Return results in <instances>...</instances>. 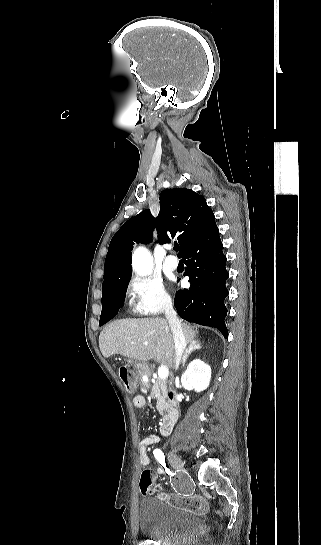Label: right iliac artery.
<instances>
[{
    "mask_svg": "<svg viewBox=\"0 0 321 545\" xmlns=\"http://www.w3.org/2000/svg\"><path fill=\"white\" fill-rule=\"evenodd\" d=\"M153 454H154V457L157 459V461L165 468V471L168 474H170V471L166 467V464H165V456H164L163 452L160 449H155Z\"/></svg>",
    "mask_w": 321,
    "mask_h": 545,
    "instance_id": "1",
    "label": "right iliac artery"
}]
</instances>
